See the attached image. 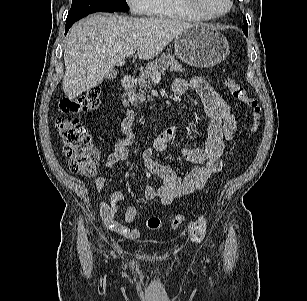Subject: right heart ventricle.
<instances>
[{
  "mask_svg": "<svg viewBox=\"0 0 307 301\" xmlns=\"http://www.w3.org/2000/svg\"><path fill=\"white\" fill-rule=\"evenodd\" d=\"M148 15L159 19H175L182 21L208 20L189 12L179 0H153L152 10Z\"/></svg>",
  "mask_w": 307,
  "mask_h": 301,
  "instance_id": "right-heart-ventricle-1",
  "label": "right heart ventricle"
}]
</instances>
